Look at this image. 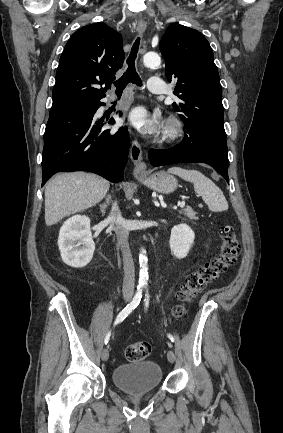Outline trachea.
<instances>
[{
    "label": "trachea",
    "instance_id": "trachea-1",
    "mask_svg": "<svg viewBox=\"0 0 283 433\" xmlns=\"http://www.w3.org/2000/svg\"><path fill=\"white\" fill-rule=\"evenodd\" d=\"M139 45H140V38H137V40L134 42L129 57L127 58V70L125 73H123L122 77L119 78L116 82H114V85L116 87V93H122L124 88L128 85V83H134L138 86H142V81L136 72L135 68V60L137 58V54L139 51Z\"/></svg>",
    "mask_w": 283,
    "mask_h": 433
}]
</instances>
